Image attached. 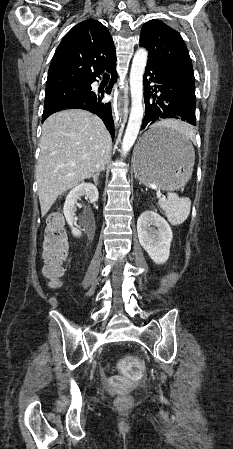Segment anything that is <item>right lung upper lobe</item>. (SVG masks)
Instances as JSON below:
<instances>
[{
  "instance_id": "1",
  "label": "right lung upper lobe",
  "mask_w": 233,
  "mask_h": 449,
  "mask_svg": "<svg viewBox=\"0 0 233 449\" xmlns=\"http://www.w3.org/2000/svg\"><path fill=\"white\" fill-rule=\"evenodd\" d=\"M115 62V47L108 29L97 20H85L59 44L49 67L46 91L89 84Z\"/></svg>"
}]
</instances>
